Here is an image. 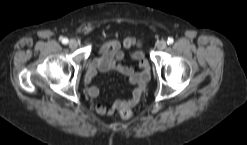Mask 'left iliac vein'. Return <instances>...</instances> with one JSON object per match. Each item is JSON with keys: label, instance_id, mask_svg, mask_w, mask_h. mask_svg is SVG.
<instances>
[{"label": "left iliac vein", "instance_id": "4c4485c4", "mask_svg": "<svg viewBox=\"0 0 247 145\" xmlns=\"http://www.w3.org/2000/svg\"><path fill=\"white\" fill-rule=\"evenodd\" d=\"M167 46V43L165 40H160L158 43H157V48L158 50H164Z\"/></svg>", "mask_w": 247, "mask_h": 145}]
</instances>
